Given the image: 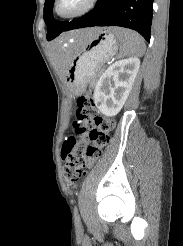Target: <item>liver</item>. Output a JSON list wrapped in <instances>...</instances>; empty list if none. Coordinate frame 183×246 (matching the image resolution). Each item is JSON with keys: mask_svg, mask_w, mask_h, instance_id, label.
<instances>
[{"mask_svg": "<svg viewBox=\"0 0 183 246\" xmlns=\"http://www.w3.org/2000/svg\"><path fill=\"white\" fill-rule=\"evenodd\" d=\"M97 31L98 28L77 30L59 38L51 45L52 54L60 70L61 77L66 76L70 64V57L64 49V42L69 38H77L81 41H89L93 38Z\"/></svg>", "mask_w": 183, "mask_h": 246, "instance_id": "1", "label": "liver"}]
</instances>
